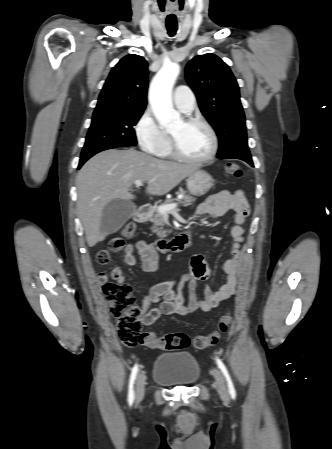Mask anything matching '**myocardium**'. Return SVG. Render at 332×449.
<instances>
[{
	"mask_svg": "<svg viewBox=\"0 0 332 449\" xmlns=\"http://www.w3.org/2000/svg\"><path fill=\"white\" fill-rule=\"evenodd\" d=\"M185 124H198L201 125L202 127H204L206 129V131L209 134L210 137V141H211V147L209 152L202 157H191L188 156L186 154H184L178 147L175 139L173 136L170 135V147H171V151L173 153V155L185 162H189V163H207L209 161H211L217 154L218 151V138H217V134L215 132V130L213 129V127L204 119L200 118V117H195V116H188L185 117L182 120Z\"/></svg>",
	"mask_w": 332,
	"mask_h": 449,
	"instance_id": "f54148a6",
	"label": "myocardium"
}]
</instances>
